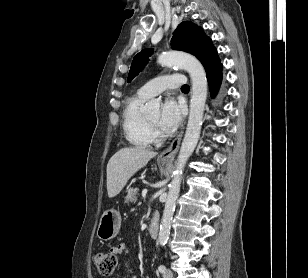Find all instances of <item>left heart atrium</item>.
I'll return each instance as SVG.
<instances>
[{
    "instance_id": "1",
    "label": "left heart atrium",
    "mask_w": 308,
    "mask_h": 278,
    "mask_svg": "<svg viewBox=\"0 0 308 278\" xmlns=\"http://www.w3.org/2000/svg\"><path fill=\"white\" fill-rule=\"evenodd\" d=\"M183 115L182 105L174 99L168 98L162 106L157 123L164 132L172 133L181 124Z\"/></svg>"
}]
</instances>
